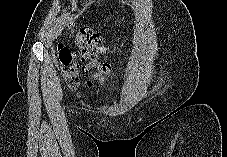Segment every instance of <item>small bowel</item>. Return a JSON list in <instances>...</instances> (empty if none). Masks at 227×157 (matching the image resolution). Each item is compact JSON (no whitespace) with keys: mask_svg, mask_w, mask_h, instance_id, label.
I'll return each mask as SVG.
<instances>
[{"mask_svg":"<svg viewBox=\"0 0 227 157\" xmlns=\"http://www.w3.org/2000/svg\"><path fill=\"white\" fill-rule=\"evenodd\" d=\"M107 51V48L105 47V46H102V45H100L99 47H98V52L99 53H105Z\"/></svg>","mask_w":227,"mask_h":157,"instance_id":"1","label":"small bowel"}]
</instances>
